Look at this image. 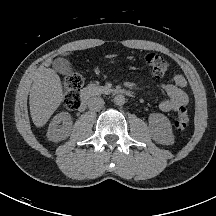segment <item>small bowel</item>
Masks as SVG:
<instances>
[{
	"instance_id": "obj_1",
	"label": "small bowel",
	"mask_w": 216,
	"mask_h": 216,
	"mask_svg": "<svg viewBox=\"0 0 216 216\" xmlns=\"http://www.w3.org/2000/svg\"><path fill=\"white\" fill-rule=\"evenodd\" d=\"M187 82L182 75H174L162 84L168 98L161 101L159 108L163 112L178 111L189 103V97L184 91Z\"/></svg>"
}]
</instances>
